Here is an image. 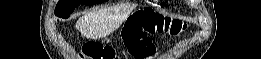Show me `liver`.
I'll return each mask as SVG.
<instances>
[{
    "instance_id": "liver-1",
    "label": "liver",
    "mask_w": 261,
    "mask_h": 59,
    "mask_svg": "<svg viewBox=\"0 0 261 59\" xmlns=\"http://www.w3.org/2000/svg\"><path fill=\"white\" fill-rule=\"evenodd\" d=\"M123 20L114 8H98L80 17L75 28L86 38L98 39L114 32Z\"/></svg>"
}]
</instances>
